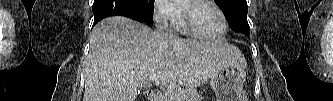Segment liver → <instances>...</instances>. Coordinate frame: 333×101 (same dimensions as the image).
Segmentation results:
<instances>
[{"mask_svg": "<svg viewBox=\"0 0 333 101\" xmlns=\"http://www.w3.org/2000/svg\"><path fill=\"white\" fill-rule=\"evenodd\" d=\"M227 43L180 39L114 16L92 30L83 101H135L151 75L193 88L238 62Z\"/></svg>", "mask_w": 333, "mask_h": 101, "instance_id": "6515ba94", "label": "liver"}]
</instances>
